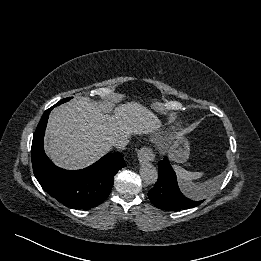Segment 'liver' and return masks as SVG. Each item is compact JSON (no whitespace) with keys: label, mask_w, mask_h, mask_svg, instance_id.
<instances>
[{"label":"liver","mask_w":261,"mask_h":261,"mask_svg":"<svg viewBox=\"0 0 261 261\" xmlns=\"http://www.w3.org/2000/svg\"><path fill=\"white\" fill-rule=\"evenodd\" d=\"M160 127L161 120L140 102L120 104L110 115L82 97L52 111L45 149L57 166L81 169L107 154L116 139L153 133Z\"/></svg>","instance_id":"liver-1"}]
</instances>
